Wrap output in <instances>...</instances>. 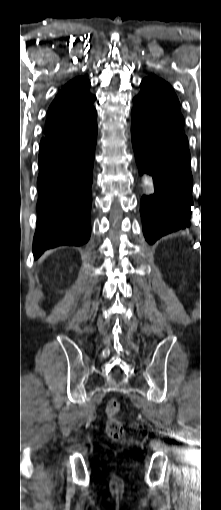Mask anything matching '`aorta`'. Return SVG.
I'll list each match as a JSON object with an SVG mask.
<instances>
[{
	"instance_id": "aorta-1",
	"label": "aorta",
	"mask_w": 221,
	"mask_h": 510,
	"mask_svg": "<svg viewBox=\"0 0 221 510\" xmlns=\"http://www.w3.org/2000/svg\"><path fill=\"white\" fill-rule=\"evenodd\" d=\"M143 182H144V185H145V186H147V187L152 186V181H151V179H150V178H148V177H145V178L143 179Z\"/></svg>"
}]
</instances>
